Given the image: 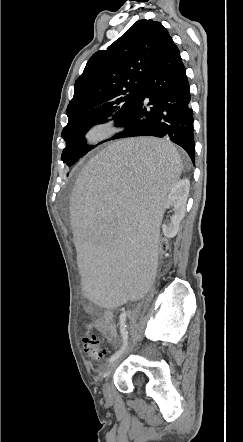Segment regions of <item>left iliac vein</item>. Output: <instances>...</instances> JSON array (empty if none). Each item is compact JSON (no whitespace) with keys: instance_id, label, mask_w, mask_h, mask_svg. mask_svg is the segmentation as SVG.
<instances>
[{"instance_id":"1","label":"left iliac vein","mask_w":243,"mask_h":442,"mask_svg":"<svg viewBox=\"0 0 243 442\" xmlns=\"http://www.w3.org/2000/svg\"><path fill=\"white\" fill-rule=\"evenodd\" d=\"M119 363V359H115L112 362H110V364L108 365L105 375H106V382L103 386V393L104 396L106 398V400H111L112 399V389L109 383V377L112 375V373L114 372V370L116 369L117 365Z\"/></svg>"}]
</instances>
